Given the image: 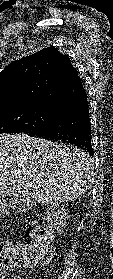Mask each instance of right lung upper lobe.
I'll return each mask as SVG.
<instances>
[{
    "mask_svg": "<svg viewBox=\"0 0 113 279\" xmlns=\"http://www.w3.org/2000/svg\"><path fill=\"white\" fill-rule=\"evenodd\" d=\"M84 89L68 55L44 48L0 72V109L47 105L65 109Z\"/></svg>",
    "mask_w": 113,
    "mask_h": 279,
    "instance_id": "right-lung-upper-lobe-1",
    "label": "right lung upper lobe"
}]
</instances>
